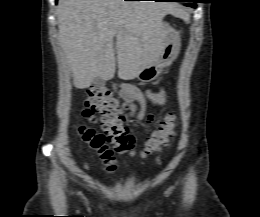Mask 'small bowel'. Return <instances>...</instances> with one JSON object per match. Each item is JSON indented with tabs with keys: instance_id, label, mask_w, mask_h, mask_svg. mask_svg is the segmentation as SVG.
I'll return each instance as SVG.
<instances>
[{
	"instance_id": "small-bowel-1",
	"label": "small bowel",
	"mask_w": 260,
	"mask_h": 217,
	"mask_svg": "<svg viewBox=\"0 0 260 217\" xmlns=\"http://www.w3.org/2000/svg\"><path fill=\"white\" fill-rule=\"evenodd\" d=\"M120 96L123 100V108L129 115L138 121L145 124H150L153 121V115L146 113L147 103L154 105H162L166 99L164 89L153 92L150 90H141L129 84L118 85ZM136 102L141 104V108L137 109Z\"/></svg>"
}]
</instances>
